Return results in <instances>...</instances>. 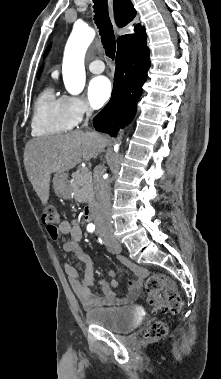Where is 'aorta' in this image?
Returning <instances> with one entry per match:
<instances>
[{"mask_svg": "<svg viewBox=\"0 0 221 379\" xmlns=\"http://www.w3.org/2000/svg\"><path fill=\"white\" fill-rule=\"evenodd\" d=\"M94 36V29L88 26H75L65 46L62 65L63 81L66 90L72 95H77L84 89V58ZM118 149L119 144H116L114 150L118 151Z\"/></svg>", "mask_w": 221, "mask_h": 379, "instance_id": "obj_1", "label": "aorta"}]
</instances>
